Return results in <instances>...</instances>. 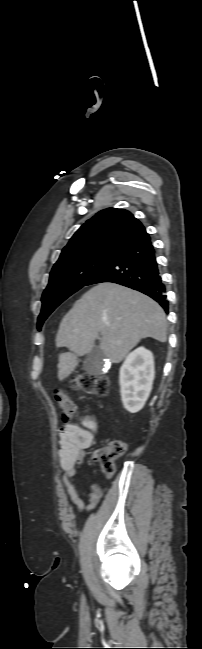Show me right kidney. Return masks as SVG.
I'll list each match as a JSON object with an SVG mask.
<instances>
[{"mask_svg":"<svg viewBox=\"0 0 202 649\" xmlns=\"http://www.w3.org/2000/svg\"><path fill=\"white\" fill-rule=\"evenodd\" d=\"M154 357L151 351L139 347L123 362L119 372L121 399L124 408L140 411L152 390L154 380Z\"/></svg>","mask_w":202,"mask_h":649,"instance_id":"obj_1","label":"right kidney"}]
</instances>
